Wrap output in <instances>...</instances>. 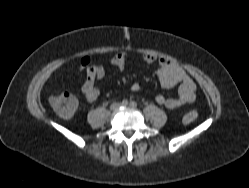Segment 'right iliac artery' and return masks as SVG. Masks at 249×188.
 <instances>
[{
	"mask_svg": "<svg viewBox=\"0 0 249 188\" xmlns=\"http://www.w3.org/2000/svg\"><path fill=\"white\" fill-rule=\"evenodd\" d=\"M122 105H123V106H127V105H128V101H127V100H123V101H122Z\"/></svg>",
	"mask_w": 249,
	"mask_h": 188,
	"instance_id": "1",
	"label": "right iliac artery"
}]
</instances>
